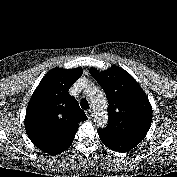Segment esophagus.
<instances>
[{"label":"esophagus","instance_id":"34e87169","mask_svg":"<svg viewBox=\"0 0 177 177\" xmlns=\"http://www.w3.org/2000/svg\"><path fill=\"white\" fill-rule=\"evenodd\" d=\"M93 114L94 113H93V111L91 109L86 110V115H87L88 118H92Z\"/></svg>","mask_w":177,"mask_h":177}]
</instances>
